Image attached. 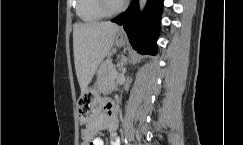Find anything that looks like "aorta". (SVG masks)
<instances>
[{
	"mask_svg": "<svg viewBox=\"0 0 243 145\" xmlns=\"http://www.w3.org/2000/svg\"><path fill=\"white\" fill-rule=\"evenodd\" d=\"M146 3H147V0H139L140 10H143L144 9Z\"/></svg>",
	"mask_w": 243,
	"mask_h": 145,
	"instance_id": "aorta-1",
	"label": "aorta"
}]
</instances>
